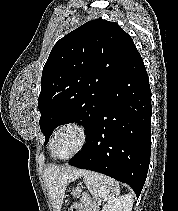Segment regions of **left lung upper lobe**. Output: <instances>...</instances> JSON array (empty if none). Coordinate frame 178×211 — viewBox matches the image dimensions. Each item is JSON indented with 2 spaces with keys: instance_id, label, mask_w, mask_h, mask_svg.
<instances>
[{
  "instance_id": "obj_1",
  "label": "left lung upper lobe",
  "mask_w": 178,
  "mask_h": 211,
  "mask_svg": "<svg viewBox=\"0 0 178 211\" xmlns=\"http://www.w3.org/2000/svg\"><path fill=\"white\" fill-rule=\"evenodd\" d=\"M136 51L113 22L96 19L57 41L43 68L38 108L45 144L54 129L76 122L87 135L112 83Z\"/></svg>"
}]
</instances>
